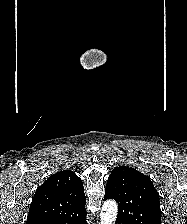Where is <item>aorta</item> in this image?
Instances as JSON below:
<instances>
[{"instance_id":"aorta-1","label":"aorta","mask_w":187,"mask_h":224,"mask_svg":"<svg viewBox=\"0 0 187 224\" xmlns=\"http://www.w3.org/2000/svg\"><path fill=\"white\" fill-rule=\"evenodd\" d=\"M117 212L118 207L115 201L107 200L104 202L100 213L101 224H114L116 221Z\"/></svg>"}]
</instances>
